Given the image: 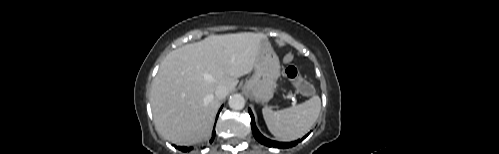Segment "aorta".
<instances>
[{
  "label": "aorta",
  "instance_id": "aorta-1",
  "mask_svg": "<svg viewBox=\"0 0 499 154\" xmlns=\"http://www.w3.org/2000/svg\"><path fill=\"white\" fill-rule=\"evenodd\" d=\"M228 104L234 110H241L245 106V99L241 94H234L230 96Z\"/></svg>",
  "mask_w": 499,
  "mask_h": 154
}]
</instances>
